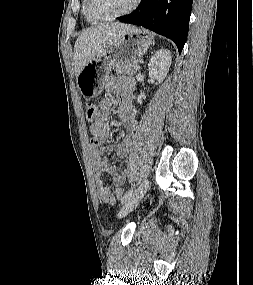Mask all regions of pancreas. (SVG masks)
<instances>
[{
    "mask_svg": "<svg viewBox=\"0 0 253 285\" xmlns=\"http://www.w3.org/2000/svg\"><path fill=\"white\" fill-rule=\"evenodd\" d=\"M137 65V61L116 66L115 71L116 74H126V75H134L136 73L135 66Z\"/></svg>",
    "mask_w": 253,
    "mask_h": 285,
    "instance_id": "1",
    "label": "pancreas"
}]
</instances>
